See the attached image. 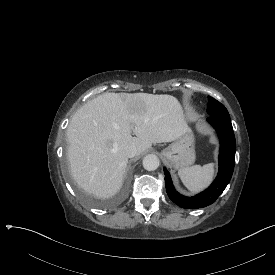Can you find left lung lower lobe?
<instances>
[{
  "mask_svg": "<svg viewBox=\"0 0 275 275\" xmlns=\"http://www.w3.org/2000/svg\"><path fill=\"white\" fill-rule=\"evenodd\" d=\"M207 121L214 127L220 140L219 172L210 187L196 196H183L175 190L171 176L164 168L167 195L176 205L184 209H198L214 203L230 182L233 174L236 141L231 119L209 116Z\"/></svg>",
  "mask_w": 275,
  "mask_h": 275,
  "instance_id": "1",
  "label": "left lung lower lobe"
}]
</instances>
